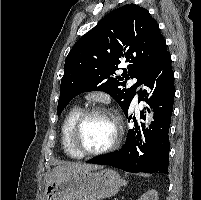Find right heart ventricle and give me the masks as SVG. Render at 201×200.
<instances>
[{
    "label": "right heart ventricle",
    "mask_w": 201,
    "mask_h": 200,
    "mask_svg": "<svg viewBox=\"0 0 201 200\" xmlns=\"http://www.w3.org/2000/svg\"><path fill=\"white\" fill-rule=\"evenodd\" d=\"M81 111H82V109L79 106L72 107L68 111L67 115L65 116V119L61 126V134H60L61 148H62L63 153L71 159L81 158L75 153V151L72 149L70 142H69L70 129H71L74 121L76 120V118L81 113Z\"/></svg>",
    "instance_id": "e07e8e85"
}]
</instances>
